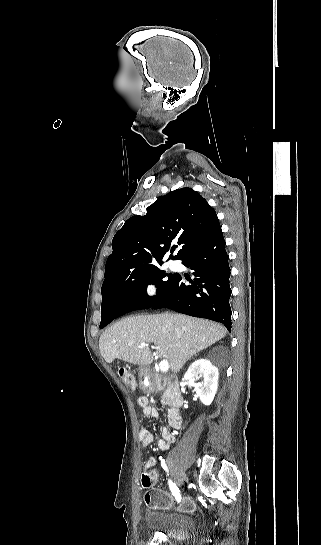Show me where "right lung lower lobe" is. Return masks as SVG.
Instances as JSON below:
<instances>
[{
    "label": "right lung lower lobe",
    "instance_id": "obj_1",
    "mask_svg": "<svg viewBox=\"0 0 321 545\" xmlns=\"http://www.w3.org/2000/svg\"><path fill=\"white\" fill-rule=\"evenodd\" d=\"M229 256L225 250V240L221 227L216 228L202 242L194 247L182 260V264L194 270V281L185 285L177 274L168 288L152 303L144 304L132 296L112 295L101 306L103 327L115 318L134 310L170 308L190 316L211 319L231 331V307L229 299Z\"/></svg>",
    "mask_w": 321,
    "mask_h": 545
}]
</instances>
